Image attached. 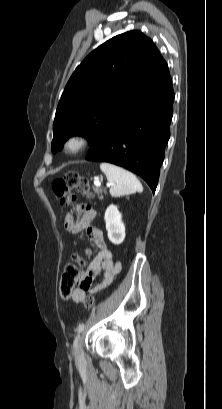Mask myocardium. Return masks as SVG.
I'll return each instance as SVG.
<instances>
[{
	"label": "myocardium",
	"instance_id": "f54148a6",
	"mask_svg": "<svg viewBox=\"0 0 222 409\" xmlns=\"http://www.w3.org/2000/svg\"><path fill=\"white\" fill-rule=\"evenodd\" d=\"M89 143L90 137L86 132L76 131L65 139L63 149L67 154L77 155L82 153L88 147Z\"/></svg>",
	"mask_w": 222,
	"mask_h": 409
}]
</instances>
